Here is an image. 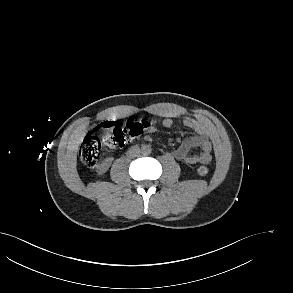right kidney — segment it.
I'll return each mask as SVG.
<instances>
[{
  "label": "right kidney",
  "mask_w": 293,
  "mask_h": 293,
  "mask_svg": "<svg viewBox=\"0 0 293 293\" xmlns=\"http://www.w3.org/2000/svg\"><path fill=\"white\" fill-rule=\"evenodd\" d=\"M100 170H101V171H104V170H105V168H104V167H102Z\"/></svg>",
  "instance_id": "ca27d5eb"
}]
</instances>
